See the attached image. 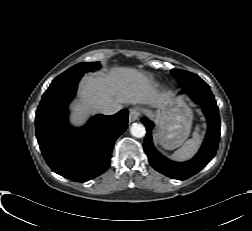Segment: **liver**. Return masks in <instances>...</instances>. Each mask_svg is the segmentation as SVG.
<instances>
[{
  "label": "liver",
  "mask_w": 252,
  "mask_h": 231,
  "mask_svg": "<svg viewBox=\"0 0 252 231\" xmlns=\"http://www.w3.org/2000/svg\"><path fill=\"white\" fill-rule=\"evenodd\" d=\"M80 101L72 105L71 122L83 123L91 111L104 105L145 104L161 107L168 93L158 92L151 78L135 68L114 67L105 73L84 77L79 87Z\"/></svg>",
  "instance_id": "liver-1"
}]
</instances>
